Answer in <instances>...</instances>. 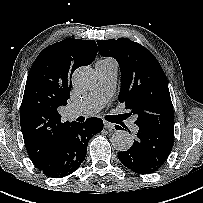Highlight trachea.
Returning a JSON list of instances; mask_svg holds the SVG:
<instances>
[{
	"label": "trachea",
	"mask_w": 203,
	"mask_h": 203,
	"mask_svg": "<svg viewBox=\"0 0 203 203\" xmlns=\"http://www.w3.org/2000/svg\"><path fill=\"white\" fill-rule=\"evenodd\" d=\"M105 118H106V120H108V121L111 122V120H110V116H106Z\"/></svg>",
	"instance_id": "obj_1"
}]
</instances>
